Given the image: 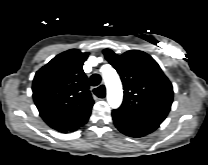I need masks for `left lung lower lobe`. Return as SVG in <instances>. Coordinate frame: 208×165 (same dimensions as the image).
<instances>
[{
	"label": "left lung lower lobe",
	"mask_w": 208,
	"mask_h": 165,
	"mask_svg": "<svg viewBox=\"0 0 208 165\" xmlns=\"http://www.w3.org/2000/svg\"><path fill=\"white\" fill-rule=\"evenodd\" d=\"M112 117L113 122L119 131L134 138L148 135L159 127V124L132 119L115 110L112 112Z\"/></svg>",
	"instance_id": "left-lung-lower-lobe-1"
}]
</instances>
